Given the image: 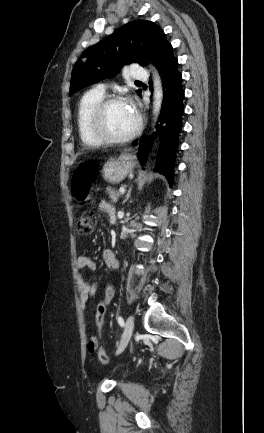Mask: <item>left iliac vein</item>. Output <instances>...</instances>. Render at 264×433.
Listing matches in <instances>:
<instances>
[{
	"label": "left iliac vein",
	"instance_id": "1",
	"mask_svg": "<svg viewBox=\"0 0 264 433\" xmlns=\"http://www.w3.org/2000/svg\"><path fill=\"white\" fill-rule=\"evenodd\" d=\"M133 330H134V321H133L132 316H129L126 320V323H125V329H124L123 337H122L121 343L117 349V352H116L117 354L121 353L125 349V347L127 346L128 342L132 336Z\"/></svg>",
	"mask_w": 264,
	"mask_h": 433
}]
</instances>
